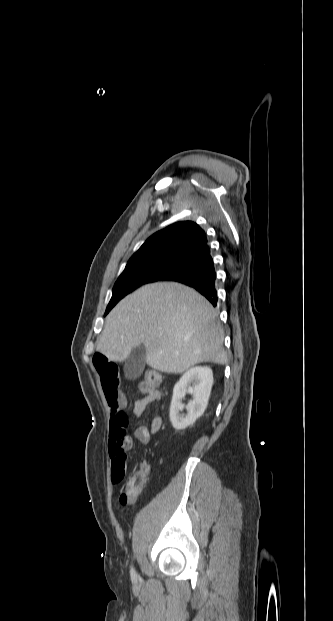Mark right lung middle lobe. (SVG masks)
<instances>
[{"mask_svg": "<svg viewBox=\"0 0 333 621\" xmlns=\"http://www.w3.org/2000/svg\"><path fill=\"white\" fill-rule=\"evenodd\" d=\"M184 260L182 258L167 257L127 263L125 270L113 287L112 298L107 306L105 315L124 296L141 285L162 280L167 274L178 268Z\"/></svg>", "mask_w": 333, "mask_h": 621, "instance_id": "dd1d6c3e", "label": "right lung middle lobe"}]
</instances>
